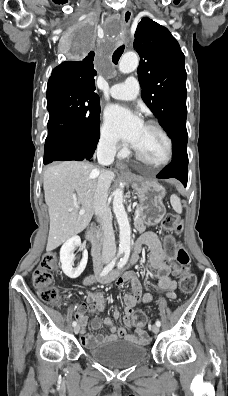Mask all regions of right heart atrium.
Instances as JSON below:
<instances>
[{
  "label": "right heart atrium",
  "instance_id": "obj_1",
  "mask_svg": "<svg viewBox=\"0 0 228 396\" xmlns=\"http://www.w3.org/2000/svg\"><path fill=\"white\" fill-rule=\"evenodd\" d=\"M99 140L101 146L109 152H117L120 149V145L116 138L111 133L110 129L105 125H101L99 130Z\"/></svg>",
  "mask_w": 228,
  "mask_h": 396
}]
</instances>
